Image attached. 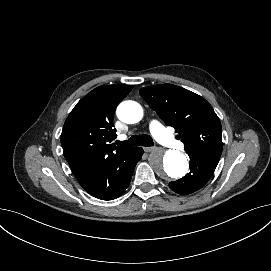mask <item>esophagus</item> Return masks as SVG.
I'll return each mask as SVG.
<instances>
[{"label": "esophagus", "mask_w": 271, "mask_h": 271, "mask_svg": "<svg viewBox=\"0 0 271 271\" xmlns=\"http://www.w3.org/2000/svg\"><path fill=\"white\" fill-rule=\"evenodd\" d=\"M143 149L145 152H153L157 149V147H144Z\"/></svg>", "instance_id": "34e87169"}]
</instances>
